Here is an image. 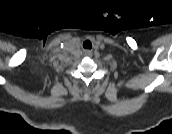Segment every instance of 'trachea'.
I'll list each match as a JSON object with an SVG mask.
<instances>
[{
	"mask_svg": "<svg viewBox=\"0 0 172 134\" xmlns=\"http://www.w3.org/2000/svg\"><path fill=\"white\" fill-rule=\"evenodd\" d=\"M84 48L91 49L92 48V43L89 40L84 41L83 43Z\"/></svg>",
	"mask_w": 172,
	"mask_h": 134,
	"instance_id": "1",
	"label": "trachea"
}]
</instances>
